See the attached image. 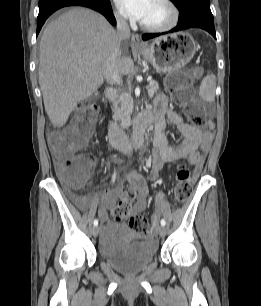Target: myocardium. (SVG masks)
Masks as SVG:
<instances>
[{"label": "myocardium", "mask_w": 261, "mask_h": 306, "mask_svg": "<svg viewBox=\"0 0 261 306\" xmlns=\"http://www.w3.org/2000/svg\"><path fill=\"white\" fill-rule=\"evenodd\" d=\"M161 4H163L169 13L168 19L164 23L160 24H146L140 22V27L152 33L165 32L173 29L179 22L180 12L176 4L172 0H158Z\"/></svg>", "instance_id": "1"}]
</instances>
